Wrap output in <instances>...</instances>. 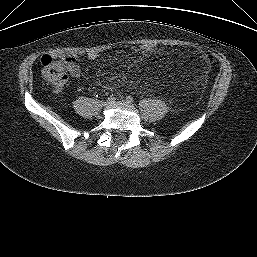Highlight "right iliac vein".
<instances>
[{
    "mask_svg": "<svg viewBox=\"0 0 257 257\" xmlns=\"http://www.w3.org/2000/svg\"><path fill=\"white\" fill-rule=\"evenodd\" d=\"M111 103L109 102V101H102L101 102V105L103 106V107H107V106H109Z\"/></svg>",
    "mask_w": 257,
    "mask_h": 257,
    "instance_id": "obj_1",
    "label": "right iliac vein"
}]
</instances>
